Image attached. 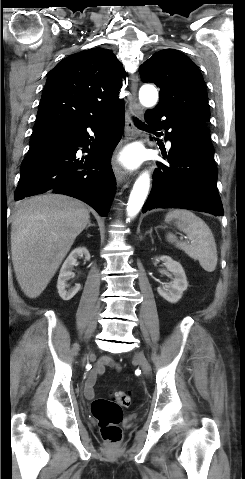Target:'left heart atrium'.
Segmentation results:
<instances>
[{"label": "left heart atrium", "instance_id": "obj_1", "mask_svg": "<svg viewBox=\"0 0 245 479\" xmlns=\"http://www.w3.org/2000/svg\"><path fill=\"white\" fill-rule=\"evenodd\" d=\"M122 162L130 167H134L140 162V155L138 151L134 149L127 150L122 155Z\"/></svg>", "mask_w": 245, "mask_h": 479}]
</instances>
